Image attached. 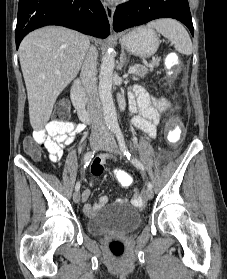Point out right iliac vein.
<instances>
[{"mask_svg": "<svg viewBox=\"0 0 227 279\" xmlns=\"http://www.w3.org/2000/svg\"><path fill=\"white\" fill-rule=\"evenodd\" d=\"M102 142H103V139H102V138L92 140V141L90 142L91 150H92V151H97V150L100 148ZM80 199H81L80 193H79V192H75V193L73 194V201H74L75 203H79V202H80Z\"/></svg>", "mask_w": 227, "mask_h": 279, "instance_id": "63e3f726", "label": "right iliac vein"}]
</instances>
